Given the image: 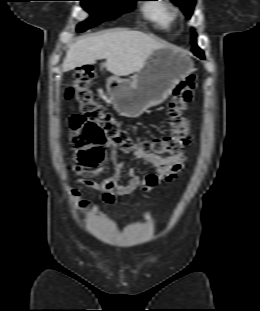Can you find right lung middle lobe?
<instances>
[{
	"label": "right lung middle lobe",
	"mask_w": 260,
	"mask_h": 311,
	"mask_svg": "<svg viewBox=\"0 0 260 311\" xmlns=\"http://www.w3.org/2000/svg\"><path fill=\"white\" fill-rule=\"evenodd\" d=\"M91 17L78 25L77 30L83 32L103 21L116 18L120 14L133 9L136 0H79Z\"/></svg>",
	"instance_id": "obj_1"
}]
</instances>
